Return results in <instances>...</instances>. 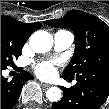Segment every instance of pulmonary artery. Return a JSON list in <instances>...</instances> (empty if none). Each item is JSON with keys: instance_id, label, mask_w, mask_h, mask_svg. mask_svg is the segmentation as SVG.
Segmentation results:
<instances>
[{"instance_id": "pulmonary-artery-1", "label": "pulmonary artery", "mask_w": 109, "mask_h": 109, "mask_svg": "<svg viewBox=\"0 0 109 109\" xmlns=\"http://www.w3.org/2000/svg\"><path fill=\"white\" fill-rule=\"evenodd\" d=\"M74 42V35L69 30H59L54 34V49L61 52L68 49Z\"/></svg>"}]
</instances>
